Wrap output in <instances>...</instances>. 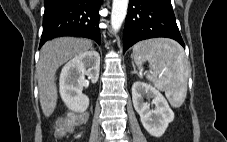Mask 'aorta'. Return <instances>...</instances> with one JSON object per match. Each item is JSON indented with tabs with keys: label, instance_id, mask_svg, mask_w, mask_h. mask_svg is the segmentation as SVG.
<instances>
[{
	"label": "aorta",
	"instance_id": "762f6f07",
	"mask_svg": "<svg viewBox=\"0 0 227 142\" xmlns=\"http://www.w3.org/2000/svg\"><path fill=\"white\" fill-rule=\"evenodd\" d=\"M129 0H113L111 12V26L117 32L126 17Z\"/></svg>",
	"mask_w": 227,
	"mask_h": 142
}]
</instances>
